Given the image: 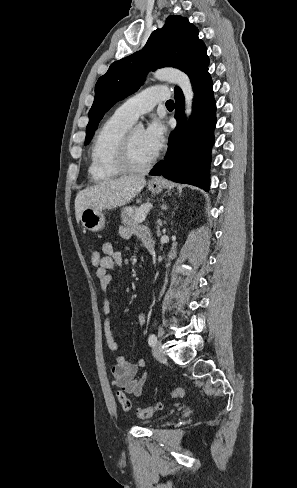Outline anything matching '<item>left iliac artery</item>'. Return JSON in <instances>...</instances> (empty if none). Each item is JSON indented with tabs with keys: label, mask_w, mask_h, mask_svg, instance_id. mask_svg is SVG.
I'll list each match as a JSON object with an SVG mask.
<instances>
[{
	"label": "left iliac artery",
	"mask_w": 297,
	"mask_h": 488,
	"mask_svg": "<svg viewBox=\"0 0 297 488\" xmlns=\"http://www.w3.org/2000/svg\"><path fill=\"white\" fill-rule=\"evenodd\" d=\"M157 342V337L155 334H151L148 338V343L150 346H154L155 343Z\"/></svg>",
	"instance_id": "1"
}]
</instances>
